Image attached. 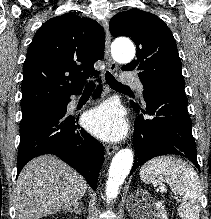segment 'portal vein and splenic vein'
Returning a JSON list of instances; mask_svg holds the SVG:
<instances>
[{"instance_id":"portal-vein-and-splenic-vein-1","label":"portal vein and splenic vein","mask_w":211,"mask_h":219,"mask_svg":"<svg viewBox=\"0 0 211 219\" xmlns=\"http://www.w3.org/2000/svg\"><path fill=\"white\" fill-rule=\"evenodd\" d=\"M165 191H166V188H164V187L160 188V192H161V193H163V192H165Z\"/></svg>"}]
</instances>
